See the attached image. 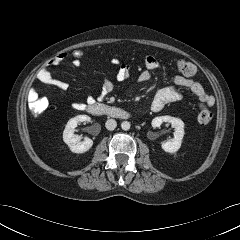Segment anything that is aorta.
I'll use <instances>...</instances> for the list:
<instances>
[{"label": "aorta", "mask_w": 240, "mask_h": 240, "mask_svg": "<svg viewBox=\"0 0 240 240\" xmlns=\"http://www.w3.org/2000/svg\"><path fill=\"white\" fill-rule=\"evenodd\" d=\"M130 127H131V125H130V122H128V121H123V122L121 123V128H122V130H124V131L129 130Z\"/></svg>", "instance_id": "1"}]
</instances>
